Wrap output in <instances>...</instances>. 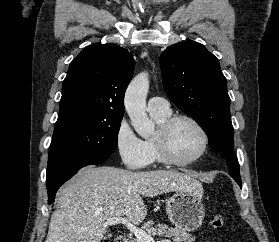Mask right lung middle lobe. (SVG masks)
Returning <instances> with one entry per match:
<instances>
[{
  "label": "right lung middle lobe",
  "instance_id": "obj_1",
  "mask_svg": "<svg viewBox=\"0 0 279 242\" xmlns=\"http://www.w3.org/2000/svg\"><path fill=\"white\" fill-rule=\"evenodd\" d=\"M122 118L85 110L59 114L50 146L47 175L80 157L114 153Z\"/></svg>",
  "mask_w": 279,
  "mask_h": 242
}]
</instances>
